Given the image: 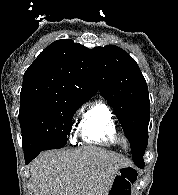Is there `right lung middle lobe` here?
I'll return each instance as SVG.
<instances>
[{
	"label": "right lung middle lobe",
	"mask_w": 178,
	"mask_h": 195,
	"mask_svg": "<svg viewBox=\"0 0 178 195\" xmlns=\"http://www.w3.org/2000/svg\"><path fill=\"white\" fill-rule=\"evenodd\" d=\"M84 102L48 97L20 98L19 123L24 154L65 146L73 115Z\"/></svg>",
	"instance_id": "1"
}]
</instances>
